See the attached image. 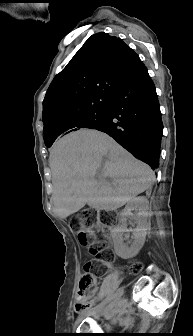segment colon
<instances>
[{"mask_svg":"<svg viewBox=\"0 0 193 336\" xmlns=\"http://www.w3.org/2000/svg\"><path fill=\"white\" fill-rule=\"evenodd\" d=\"M109 220L110 215L108 213L88 210L75 215L71 221V226L77 230V236L81 244L89 249L102 266L110 259V253L105 242L107 236L105 226L109 223ZM95 266L90 262L84 265L85 272L80 278L75 306L77 312L85 310L90 305L85 296L95 285L96 279L92 272ZM141 270L142 264L140 262H134L129 266V272L133 275L138 274Z\"/></svg>","mask_w":193,"mask_h":336,"instance_id":"obj_1","label":"colon"}]
</instances>
